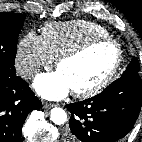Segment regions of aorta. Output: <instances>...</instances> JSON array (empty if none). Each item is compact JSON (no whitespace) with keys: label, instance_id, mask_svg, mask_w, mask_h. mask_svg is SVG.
Segmentation results:
<instances>
[{"label":"aorta","instance_id":"762f6f07","mask_svg":"<svg viewBox=\"0 0 142 142\" xmlns=\"http://www.w3.org/2000/svg\"><path fill=\"white\" fill-rule=\"evenodd\" d=\"M50 119L56 125H62L67 120L66 112L59 107H55L50 112Z\"/></svg>","mask_w":142,"mask_h":142}]
</instances>
